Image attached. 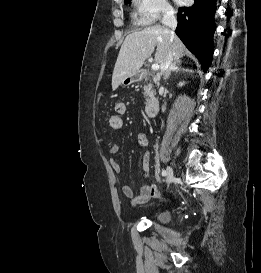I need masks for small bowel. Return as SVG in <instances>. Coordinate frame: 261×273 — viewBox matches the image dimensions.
Segmentation results:
<instances>
[{
  "mask_svg": "<svg viewBox=\"0 0 261 273\" xmlns=\"http://www.w3.org/2000/svg\"><path fill=\"white\" fill-rule=\"evenodd\" d=\"M126 110H127V107L124 102H118L115 105V114L124 115L126 113ZM137 141H138V144L142 148H146L148 146L149 141H148V137L145 133H139L137 135ZM119 149H120L119 145L114 143L110 147V153L112 155H116L119 152ZM110 164H111L112 170L116 174L121 173V170H122L121 165L117 160L111 159ZM149 165H150V156H149L148 152H145L143 155V160H142V167H143L144 176H146L148 173ZM121 191H122L123 195L129 200V202L132 206L144 204L149 199H151L153 197H158L160 195L158 189L154 185H151V184L143 185L140 190V193L138 195H135L133 189L127 184H123L121 186Z\"/></svg>",
  "mask_w": 261,
  "mask_h": 273,
  "instance_id": "1",
  "label": "small bowel"
}]
</instances>
